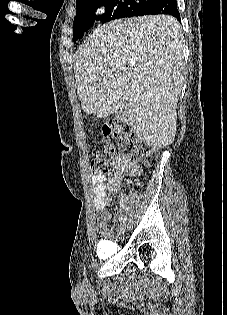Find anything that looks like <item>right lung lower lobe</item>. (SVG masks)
<instances>
[{
    "label": "right lung lower lobe",
    "instance_id": "right-lung-lower-lobe-1",
    "mask_svg": "<svg viewBox=\"0 0 227 315\" xmlns=\"http://www.w3.org/2000/svg\"><path fill=\"white\" fill-rule=\"evenodd\" d=\"M126 17L167 14L180 21V13L177 9L176 0H150L142 8L131 10Z\"/></svg>",
    "mask_w": 227,
    "mask_h": 315
}]
</instances>
